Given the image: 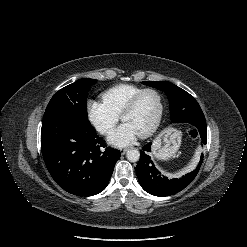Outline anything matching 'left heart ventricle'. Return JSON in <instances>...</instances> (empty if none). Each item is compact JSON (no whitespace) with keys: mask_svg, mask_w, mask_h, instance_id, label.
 Instances as JSON below:
<instances>
[{"mask_svg":"<svg viewBox=\"0 0 247 247\" xmlns=\"http://www.w3.org/2000/svg\"><path fill=\"white\" fill-rule=\"evenodd\" d=\"M159 113V101L155 94L146 93L136 108L124 117V122L131 124L141 134L148 130L156 121Z\"/></svg>","mask_w":247,"mask_h":247,"instance_id":"left-heart-ventricle-1","label":"left heart ventricle"}]
</instances>
